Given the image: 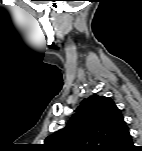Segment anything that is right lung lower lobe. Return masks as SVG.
I'll list each match as a JSON object with an SVG mask.
<instances>
[{
  "instance_id": "1",
  "label": "right lung lower lobe",
  "mask_w": 142,
  "mask_h": 151,
  "mask_svg": "<svg viewBox=\"0 0 142 151\" xmlns=\"http://www.w3.org/2000/svg\"><path fill=\"white\" fill-rule=\"evenodd\" d=\"M132 150H136L132 140H130L124 147L120 148L118 151H132Z\"/></svg>"
}]
</instances>
